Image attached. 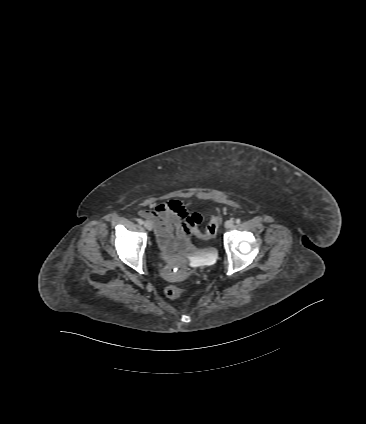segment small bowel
Masks as SVG:
<instances>
[{
    "label": "small bowel",
    "mask_w": 366,
    "mask_h": 424,
    "mask_svg": "<svg viewBox=\"0 0 366 424\" xmlns=\"http://www.w3.org/2000/svg\"><path fill=\"white\" fill-rule=\"evenodd\" d=\"M186 214L185 205L177 199L158 202L152 210L140 212L141 216L152 223L158 242L166 251L189 245L190 235L182 224Z\"/></svg>",
    "instance_id": "1"
}]
</instances>
